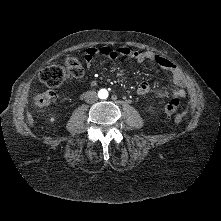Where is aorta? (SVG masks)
Listing matches in <instances>:
<instances>
[{"mask_svg":"<svg viewBox=\"0 0 221 221\" xmlns=\"http://www.w3.org/2000/svg\"><path fill=\"white\" fill-rule=\"evenodd\" d=\"M98 96L100 99H106L108 98V91L106 89H101L98 92Z\"/></svg>","mask_w":221,"mask_h":221,"instance_id":"aorta-1","label":"aorta"}]
</instances>
